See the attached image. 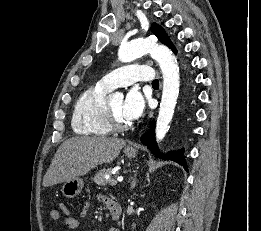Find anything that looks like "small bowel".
<instances>
[{"mask_svg":"<svg viewBox=\"0 0 261 231\" xmlns=\"http://www.w3.org/2000/svg\"><path fill=\"white\" fill-rule=\"evenodd\" d=\"M101 202H103L105 205H107L111 200L108 197L101 196L100 197ZM88 204H86L85 209L87 208ZM62 205H59L56 208H53L49 215L50 218L53 221L59 222L64 226V228L72 230V229H77L79 227V220L70 216L69 211L66 213H63L61 211ZM109 231H120L117 228H111Z\"/></svg>","mask_w":261,"mask_h":231,"instance_id":"obj_1","label":"small bowel"}]
</instances>
